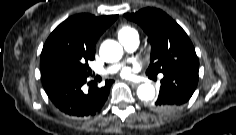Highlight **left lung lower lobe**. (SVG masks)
Returning a JSON list of instances; mask_svg holds the SVG:
<instances>
[{
	"mask_svg": "<svg viewBox=\"0 0 236 135\" xmlns=\"http://www.w3.org/2000/svg\"><path fill=\"white\" fill-rule=\"evenodd\" d=\"M199 64L179 67L164 72L159 96L150 104L159 113L172 112L189 101L198 83Z\"/></svg>",
	"mask_w": 236,
	"mask_h": 135,
	"instance_id": "0a47b994",
	"label": "left lung lower lobe"
}]
</instances>
